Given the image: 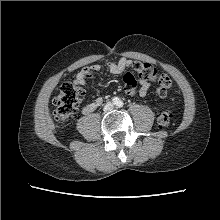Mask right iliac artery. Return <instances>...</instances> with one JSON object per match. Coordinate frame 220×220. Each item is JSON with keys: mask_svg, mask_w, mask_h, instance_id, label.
Instances as JSON below:
<instances>
[{"mask_svg": "<svg viewBox=\"0 0 220 220\" xmlns=\"http://www.w3.org/2000/svg\"><path fill=\"white\" fill-rule=\"evenodd\" d=\"M118 100H119L118 98H114L113 102L116 104V103H118Z\"/></svg>", "mask_w": 220, "mask_h": 220, "instance_id": "right-iliac-artery-1", "label": "right iliac artery"}]
</instances>
